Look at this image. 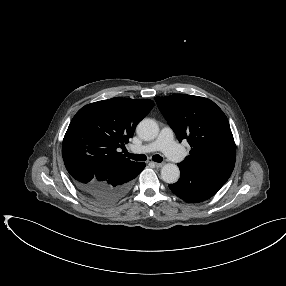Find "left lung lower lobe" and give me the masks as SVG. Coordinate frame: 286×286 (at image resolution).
Returning <instances> with one entry per match:
<instances>
[{
	"label": "left lung lower lobe",
	"instance_id": "left-lung-lower-lobe-1",
	"mask_svg": "<svg viewBox=\"0 0 286 286\" xmlns=\"http://www.w3.org/2000/svg\"><path fill=\"white\" fill-rule=\"evenodd\" d=\"M181 177L175 184H170V190L189 203L202 202L212 197L222 186L223 182L190 168L179 166Z\"/></svg>",
	"mask_w": 286,
	"mask_h": 286
}]
</instances>
